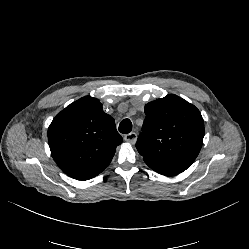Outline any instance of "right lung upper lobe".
Returning <instances> with one entry per match:
<instances>
[{
	"label": "right lung upper lobe",
	"mask_w": 249,
	"mask_h": 249,
	"mask_svg": "<svg viewBox=\"0 0 249 249\" xmlns=\"http://www.w3.org/2000/svg\"><path fill=\"white\" fill-rule=\"evenodd\" d=\"M48 141L59 168L74 179L87 180L109 165L122 137L99 100L85 96L56 115Z\"/></svg>",
	"instance_id": "right-lung-upper-lobe-1"
}]
</instances>
